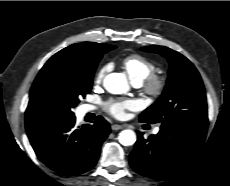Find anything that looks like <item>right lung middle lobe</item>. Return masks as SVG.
Instances as JSON below:
<instances>
[{
    "instance_id": "obj_1",
    "label": "right lung middle lobe",
    "mask_w": 230,
    "mask_h": 186,
    "mask_svg": "<svg viewBox=\"0 0 230 186\" xmlns=\"http://www.w3.org/2000/svg\"><path fill=\"white\" fill-rule=\"evenodd\" d=\"M116 46L105 44L90 59L60 61L44 72L41 87L44 98L57 120L74 117L72 108L92 88L94 71L103 54Z\"/></svg>"
}]
</instances>
